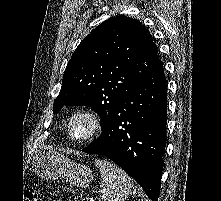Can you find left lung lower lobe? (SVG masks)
<instances>
[{
    "label": "left lung lower lobe",
    "instance_id": "1",
    "mask_svg": "<svg viewBox=\"0 0 221 201\" xmlns=\"http://www.w3.org/2000/svg\"><path fill=\"white\" fill-rule=\"evenodd\" d=\"M166 107L161 63L118 103L99 138L82 151L108 157L157 201L166 145Z\"/></svg>",
    "mask_w": 221,
    "mask_h": 201
}]
</instances>
